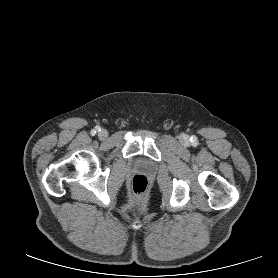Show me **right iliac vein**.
I'll list each match as a JSON object with an SVG mask.
<instances>
[{"mask_svg": "<svg viewBox=\"0 0 278 278\" xmlns=\"http://www.w3.org/2000/svg\"><path fill=\"white\" fill-rule=\"evenodd\" d=\"M98 136L101 139H106L108 137V131L105 130V129H102V130L99 131Z\"/></svg>", "mask_w": 278, "mask_h": 278, "instance_id": "obj_1", "label": "right iliac vein"}]
</instances>
